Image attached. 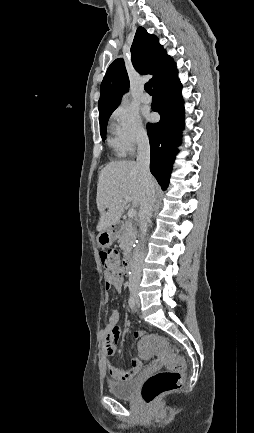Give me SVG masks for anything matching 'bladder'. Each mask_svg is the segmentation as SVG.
<instances>
[{"label":"bladder","mask_w":254,"mask_h":433,"mask_svg":"<svg viewBox=\"0 0 254 433\" xmlns=\"http://www.w3.org/2000/svg\"><path fill=\"white\" fill-rule=\"evenodd\" d=\"M138 379L132 378L120 382H110L108 390L110 394L120 399H132L135 397Z\"/></svg>","instance_id":"31cf9c89"}]
</instances>
